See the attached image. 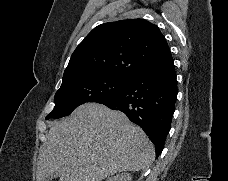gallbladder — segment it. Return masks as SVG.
<instances>
[{
  "label": "gallbladder",
  "instance_id": "gallbladder-1",
  "mask_svg": "<svg viewBox=\"0 0 228 181\" xmlns=\"http://www.w3.org/2000/svg\"><path fill=\"white\" fill-rule=\"evenodd\" d=\"M59 173H52V175H49L45 181H52V179H55V177H58Z\"/></svg>",
  "mask_w": 228,
  "mask_h": 181
}]
</instances>
